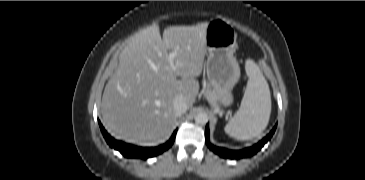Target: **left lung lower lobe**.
I'll return each mask as SVG.
<instances>
[{"instance_id": "obj_1", "label": "left lung lower lobe", "mask_w": 365, "mask_h": 180, "mask_svg": "<svg viewBox=\"0 0 365 180\" xmlns=\"http://www.w3.org/2000/svg\"><path fill=\"white\" fill-rule=\"evenodd\" d=\"M276 126L259 143L255 144L252 147L243 149V150H228V149H225V148H220V147L213 146L209 142V126H208V124H207L206 129H205V141H206L207 146L213 152H215L216 154L220 155L221 157L230 158V159H239V158H243V157H249V156H252V155L256 154L264 146V144L268 140H270V138L272 137V135L274 134V132L276 130Z\"/></svg>"}]
</instances>
